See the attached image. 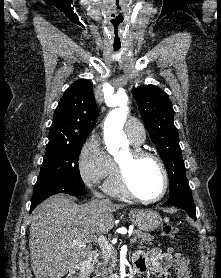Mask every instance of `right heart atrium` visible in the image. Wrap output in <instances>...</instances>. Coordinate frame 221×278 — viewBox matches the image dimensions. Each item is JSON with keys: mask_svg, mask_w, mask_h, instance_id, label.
<instances>
[{"mask_svg": "<svg viewBox=\"0 0 221 278\" xmlns=\"http://www.w3.org/2000/svg\"><path fill=\"white\" fill-rule=\"evenodd\" d=\"M115 171L113 160L105 153L98 138L91 134L83 143L78 156V172L88 185L108 179Z\"/></svg>", "mask_w": 221, "mask_h": 278, "instance_id": "1", "label": "right heart atrium"}]
</instances>
